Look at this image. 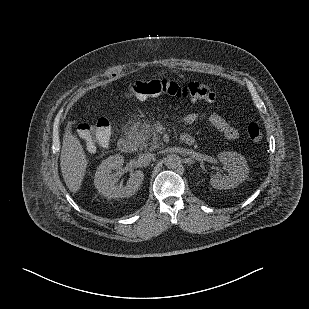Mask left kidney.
Returning a JSON list of instances; mask_svg holds the SVG:
<instances>
[{"label": "left kidney", "mask_w": 309, "mask_h": 309, "mask_svg": "<svg viewBox=\"0 0 309 309\" xmlns=\"http://www.w3.org/2000/svg\"><path fill=\"white\" fill-rule=\"evenodd\" d=\"M218 159L225 165L229 174L225 177L220 174L214 175L210 179L213 188L219 190L235 188L247 179L249 166L243 155L233 151H226L220 153Z\"/></svg>", "instance_id": "left-kidney-1"}]
</instances>
